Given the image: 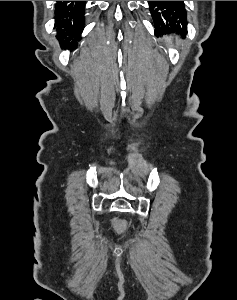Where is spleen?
<instances>
[{"label": "spleen", "instance_id": "obj_1", "mask_svg": "<svg viewBox=\"0 0 237 300\" xmlns=\"http://www.w3.org/2000/svg\"><path fill=\"white\" fill-rule=\"evenodd\" d=\"M167 43H172V39H168Z\"/></svg>", "mask_w": 237, "mask_h": 300}]
</instances>
